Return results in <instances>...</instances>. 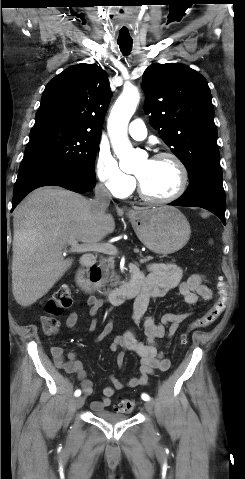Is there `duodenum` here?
Segmentation results:
<instances>
[{
    "instance_id": "410a0bca",
    "label": "duodenum",
    "mask_w": 245,
    "mask_h": 479,
    "mask_svg": "<svg viewBox=\"0 0 245 479\" xmlns=\"http://www.w3.org/2000/svg\"><path fill=\"white\" fill-rule=\"evenodd\" d=\"M87 272L90 274L89 279L85 276ZM130 274L131 277L127 282L103 294L106 302L119 305L140 295L144 286L143 279L137 269L130 270ZM100 277V270L96 265L94 255L91 253L85 254L82 260V268L76 278L78 287L85 293H92L95 291V284L100 280Z\"/></svg>"
}]
</instances>
